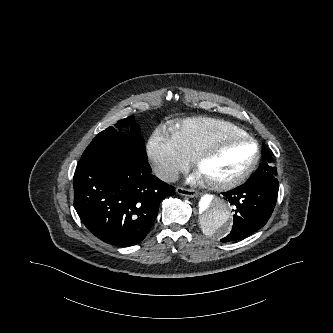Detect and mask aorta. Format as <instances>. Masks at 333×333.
<instances>
[{
  "label": "aorta",
  "instance_id": "obj_1",
  "mask_svg": "<svg viewBox=\"0 0 333 333\" xmlns=\"http://www.w3.org/2000/svg\"><path fill=\"white\" fill-rule=\"evenodd\" d=\"M196 219L205 234L220 236L231 225L230 206L220 195H204L197 203Z\"/></svg>",
  "mask_w": 333,
  "mask_h": 333
}]
</instances>
